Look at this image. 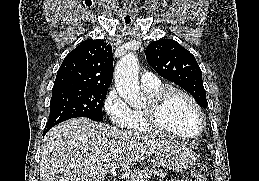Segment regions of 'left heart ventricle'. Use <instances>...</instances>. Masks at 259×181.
<instances>
[{"label": "left heart ventricle", "mask_w": 259, "mask_h": 181, "mask_svg": "<svg viewBox=\"0 0 259 181\" xmlns=\"http://www.w3.org/2000/svg\"><path fill=\"white\" fill-rule=\"evenodd\" d=\"M164 125L179 134H193L200 127V119L193 105L183 96H172L162 114Z\"/></svg>", "instance_id": "left-heart-ventricle-1"}]
</instances>
